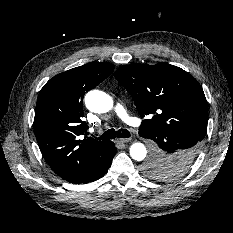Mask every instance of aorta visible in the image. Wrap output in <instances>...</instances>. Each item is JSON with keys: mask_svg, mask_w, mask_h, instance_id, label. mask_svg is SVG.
I'll list each match as a JSON object with an SVG mask.
<instances>
[{"mask_svg": "<svg viewBox=\"0 0 233 233\" xmlns=\"http://www.w3.org/2000/svg\"><path fill=\"white\" fill-rule=\"evenodd\" d=\"M86 107L95 113H106L113 108L112 98L99 90L89 91L85 96ZM147 154L146 147L142 143H133L130 147V156L136 161H142Z\"/></svg>", "mask_w": 233, "mask_h": 233, "instance_id": "obj_1", "label": "aorta"}]
</instances>
